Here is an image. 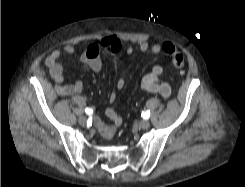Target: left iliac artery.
Segmentation results:
<instances>
[{
    "label": "left iliac artery",
    "mask_w": 245,
    "mask_h": 187,
    "mask_svg": "<svg viewBox=\"0 0 245 187\" xmlns=\"http://www.w3.org/2000/svg\"><path fill=\"white\" fill-rule=\"evenodd\" d=\"M142 115L144 118H149L150 117V111H144V112H142Z\"/></svg>",
    "instance_id": "left-iliac-artery-1"
}]
</instances>
